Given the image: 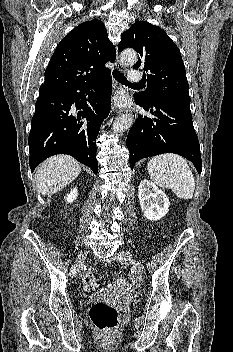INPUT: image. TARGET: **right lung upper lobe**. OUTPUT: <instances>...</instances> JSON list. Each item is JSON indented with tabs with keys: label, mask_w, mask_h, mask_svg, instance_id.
Instances as JSON below:
<instances>
[{
	"label": "right lung upper lobe",
	"mask_w": 233,
	"mask_h": 352,
	"mask_svg": "<svg viewBox=\"0 0 233 352\" xmlns=\"http://www.w3.org/2000/svg\"><path fill=\"white\" fill-rule=\"evenodd\" d=\"M116 51L108 39L102 21H86L67 34L56 47L40 88L72 87L96 79L109 69L104 65L114 62Z\"/></svg>",
	"instance_id": "cb5924a9"
}]
</instances>
